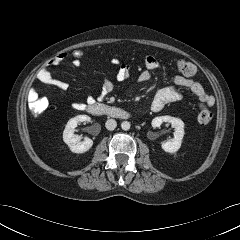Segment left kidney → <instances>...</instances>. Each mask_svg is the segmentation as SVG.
Returning <instances> with one entry per match:
<instances>
[{"mask_svg": "<svg viewBox=\"0 0 240 240\" xmlns=\"http://www.w3.org/2000/svg\"><path fill=\"white\" fill-rule=\"evenodd\" d=\"M164 122L170 123L174 128L175 132L173 139L162 143V149L168 153H175L180 149L182 144V139L184 136V122L179 118L166 115L155 117L152 120V126L154 128L160 127V125Z\"/></svg>", "mask_w": 240, "mask_h": 240, "instance_id": "5707ae66", "label": "left kidney"}]
</instances>
